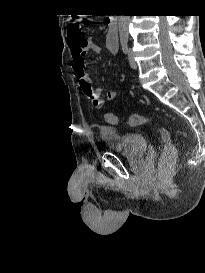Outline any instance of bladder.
Segmentation results:
<instances>
[{"mask_svg":"<svg viewBox=\"0 0 205 273\" xmlns=\"http://www.w3.org/2000/svg\"><path fill=\"white\" fill-rule=\"evenodd\" d=\"M99 135L102 143L109 149L132 160L145 157L148 139L138 132L121 133L112 126H101Z\"/></svg>","mask_w":205,"mask_h":273,"instance_id":"31cf9c89","label":"bladder"}]
</instances>
